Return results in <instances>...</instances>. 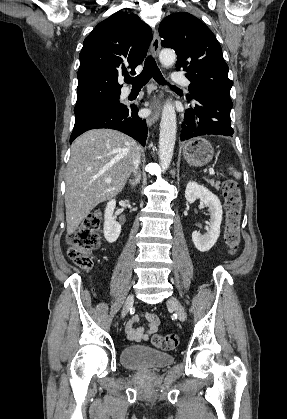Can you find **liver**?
<instances>
[{
    "label": "liver",
    "instance_id": "liver-1",
    "mask_svg": "<svg viewBox=\"0 0 287 419\" xmlns=\"http://www.w3.org/2000/svg\"><path fill=\"white\" fill-rule=\"evenodd\" d=\"M139 152L135 140L111 129L90 130L73 142L65 177L68 235L95 206L122 191Z\"/></svg>",
    "mask_w": 287,
    "mask_h": 419
}]
</instances>
